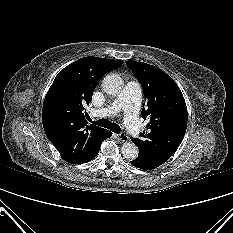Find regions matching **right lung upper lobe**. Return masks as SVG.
Listing matches in <instances>:
<instances>
[{"instance_id": "right-lung-upper-lobe-1", "label": "right lung upper lobe", "mask_w": 233, "mask_h": 233, "mask_svg": "<svg viewBox=\"0 0 233 233\" xmlns=\"http://www.w3.org/2000/svg\"><path fill=\"white\" fill-rule=\"evenodd\" d=\"M124 61L84 57L65 67L55 77L42 109L44 131L69 163L78 164L102 141L105 129L87 125L84 106L104 74Z\"/></svg>"}]
</instances>
